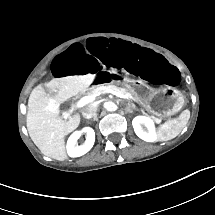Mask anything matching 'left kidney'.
Listing matches in <instances>:
<instances>
[{
  "label": "left kidney",
  "instance_id": "1",
  "mask_svg": "<svg viewBox=\"0 0 215 215\" xmlns=\"http://www.w3.org/2000/svg\"><path fill=\"white\" fill-rule=\"evenodd\" d=\"M142 124L145 125V127L148 129V132L144 131V129L141 126ZM132 125L136 135L142 140L147 142H155L157 140L155 122L150 117L142 116V115L136 116L132 120ZM140 132H142L145 136L142 137L140 135Z\"/></svg>",
  "mask_w": 215,
  "mask_h": 215
}]
</instances>
